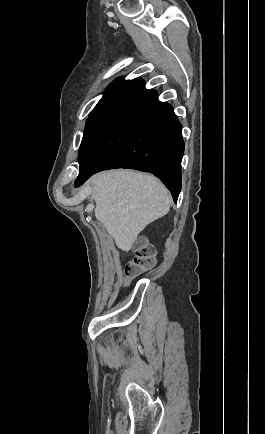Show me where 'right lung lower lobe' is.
Instances as JSON below:
<instances>
[{"label": "right lung lower lobe", "instance_id": "right-lung-lower-lobe-1", "mask_svg": "<svg viewBox=\"0 0 265 434\" xmlns=\"http://www.w3.org/2000/svg\"><path fill=\"white\" fill-rule=\"evenodd\" d=\"M136 78L128 83L80 163L75 186L96 172L131 168L157 176L174 202L181 190L182 126L171 105Z\"/></svg>", "mask_w": 265, "mask_h": 434}]
</instances>
